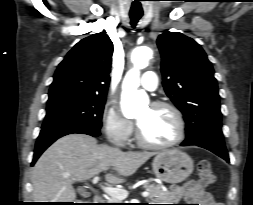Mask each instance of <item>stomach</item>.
I'll return each mask as SVG.
<instances>
[{
    "label": "stomach",
    "instance_id": "obj_1",
    "mask_svg": "<svg viewBox=\"0 0 253 205\" xmlns=\"http://www.w3.org/2000/svg\"><path fill=\"white\" fill-rule=\"evenodd\" d=\"M154 174L162 181L177 184L193 172V160L178 149L158 153L152 163Z\"/></svg>",
    "mask_w": 253,
    "mask_h": 205
}]
</instances>
